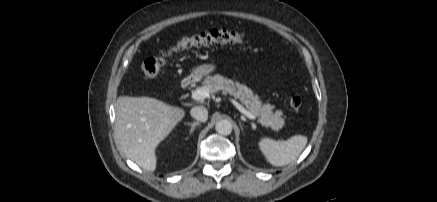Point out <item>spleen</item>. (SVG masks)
I'll list each match as a JSON object with an SVG mask.
<instances>
[{
  "label": "spleen",
  "instance_id": "3e777b00",
  "mask_svg": "<svg viewBox=\"0 0 437 202\" xmlns=\"http://www.w3.org/2000/svg\"><path fill=\"white\" fill-rule=\"evenodd\" d=\"M307 141V137L303 135L292 136L286 141H275L265 137L259 141V147L271 165L285 166L297 159Z\"/></svg>",
  "mask_w": 437,
  "mask_h": 202
}]
</instances>
